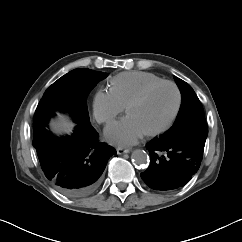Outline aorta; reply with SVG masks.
Segmentation results:
<instances>
[{
    "instance_id": "obj_1",
    "label": "aorta",
    "mask_w": 242,
    "mask_h": 242,
    "mask_svg": "<svg viewBox=\"0 0 242 242\" xmlns=\"http://www.w3.org/2000/svg\"><path fill=\"white\" fill-rule=\"evenodd\" d=\"M132 160L138 166H145L149 162V156L144 150L137 149L132 153Z\"/></svg>"
}]
</instances>
